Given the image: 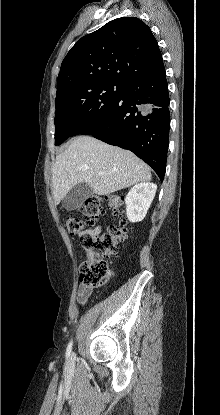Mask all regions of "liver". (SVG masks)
I'll return each mask as SVG.
<instances>
[{"mask_svg": "<svg viewBox=\"0 0 220 415\" xmlns=\"http://www.w3.org/2000/svg\"><path fill=\"white\" fill-rule=\"evenodd\" d=\"M103 172V175H99ZM151 180L150 168L132 152L89 136L75 138L56 156L52 168L55 204L77 184L85 182L97 195H109Z\"/></svg>", "mask_w": 220, "mask_h": 415, "instance_id": "1", "label": "liver"}]
</instances>
